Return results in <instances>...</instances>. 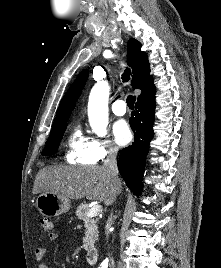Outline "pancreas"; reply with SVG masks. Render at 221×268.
<instances>
[{"mask_svg":"<svg viewBox=\"0 0 221 268\" xmlns=\"http://www.w3.org/2000/svg\"><path fill=\"white\" fill-rule=\"evenodd\" d=\"M89 211V205L87 203H81L77 207L76 215L80 220H83L86 227L85 237L83 238V247L85 250H90L94 247L95 240L98 238V219L93 217H87L86 213Z\"/></svg>","mask_w":221,"mask_h":268,"instance_id":"obj_1","label":"pancreas"}]
</instances>
